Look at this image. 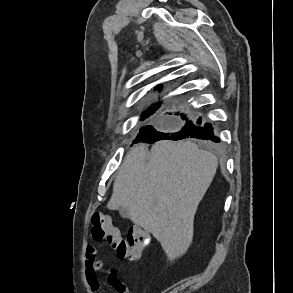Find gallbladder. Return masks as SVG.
Returning a JSON list of instances; mask_svg holds the SVG:
<instances>
[{"mask_svg":"<svg viewBox=\"0 0 293 293\" xmlns=\"http://www.w3.org/2000/svg\"><path fill=\"white\" fill-rule=\"evenodd\" d=\"M118 210H119L120 215H121L123 218H126V217L128 216V211H127L126 208L120 206Z\"/></svg>","mask_w":293,"mask_h":293,"instance_id":"gallbladder-1","label":"gallbladder"}]
</instances>
